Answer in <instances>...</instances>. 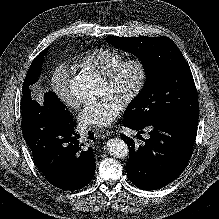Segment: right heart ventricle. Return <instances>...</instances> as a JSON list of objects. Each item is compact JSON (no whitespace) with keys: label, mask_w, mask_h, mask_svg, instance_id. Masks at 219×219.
<instances>
[{"label":"right heart ventricle","mask_w":219,"mask_h":219,"mask_svg":"<svg viewBox=\"0 0 219 219\" xmlns=\"http://www.w3.org/2000/svg\"><path fill=\"white\" fill-rule=\"evenodd\" d=\"M124 56L111 49H95L75 59V64L85 71L103 76L111 68L122 61Z\"/></svg>","instance_id":"right-heart-ventricle-1"}]
</instances>
